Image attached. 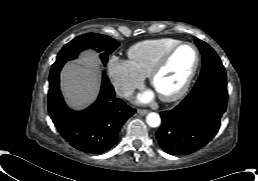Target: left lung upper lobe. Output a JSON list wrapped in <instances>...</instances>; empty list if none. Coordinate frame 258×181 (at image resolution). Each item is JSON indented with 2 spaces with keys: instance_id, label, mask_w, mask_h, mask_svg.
<instances>
[{
  "instance_id": "1",
  "label": "left lung upper lobe",
  "mask_w": 258,
  "mask_h": 181,
  "mask_svg": "<svg viewBox=\"0 0 258 181\" xmlns=\"http://www.w3.org/2000/svg\"><path fill=\"white\" fill-rule=\"evenodd\" d=\"M195 43L202 54V70L196 84L210 78L226 79L225 68L216 52L202 40L196 38Z\"/></svg>"
}]
</instances>
